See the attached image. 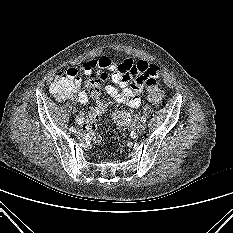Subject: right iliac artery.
<instances>
[{
	"label": "right iliac artery",
	"mask_w": 233,
	"mask_h": 233,
	"mask_svg": "<svg viewBox=\"0 0 233 233\" xmlns=\"http://www.w3.org/2000/svg\"><path fill=\"white\" fill-rule=\"evenodd\" d=\"M69 131H70L71 133H75V132H76V129H75L74 127H71V128L69 129Z\"/></svg>",
	"instance_id": "82829eb1"
}]
</instances>
